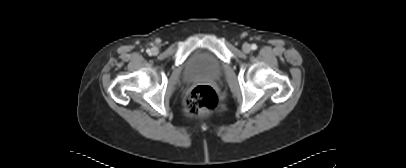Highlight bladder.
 Here are the masks:
<instances>
[{
	"label": "bladder",
	"instance_id": "obj_1",
	"mask_svg": "<svg viewBox=\"0 0 406 168\" xmlns=\"http://www.w3.org/2000/svg\"><path fill=\"white\" fill-rule=\"evenodd\" d=\"M222 74L220 60L207 51H197L187 60L183 77L188 81L201 78L215 79Z\"/></svg>",
	"mask_w": 406,
	"mask_h": 168
}]
</instances>
